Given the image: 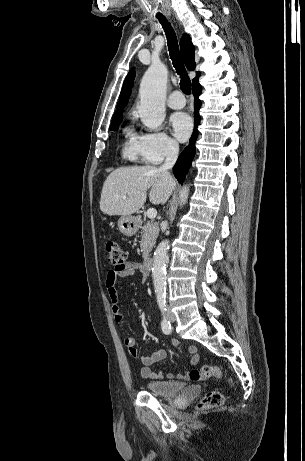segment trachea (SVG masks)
<instances>
[{
    "label": "trachea",
    "mask_w": 305,
    "mask_h": 461,
    "mask_svg": "<svg viewBox=\"0 0 305 461\" xmlns=\"http://www.w3.org/2000/svg\"><path fill=\"white\" fill-rule=\"evenodd\" d=\"M158 20L162 24V27L166 33L167 37V43L169 47V53H170V58L173 62V66L176 69L178 75H180L181 81H180V86L181 90L187 94L190 95L191 92V81L190 78L187 74V71L185 69L184 63L182 61V58L180 56V51H179V46H178V40L176 37V34L174 30L172 29L170 23L164 18V17H159Z\"/></svg>",
    "instance_id": "1"
}]
</instances>
